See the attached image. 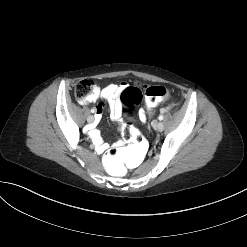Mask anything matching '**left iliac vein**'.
<instances>
[{
	"instance_id": "1",
	"label": "left iliac vein",
	"mask_w": 247,
	"mask_h": 247,
	"mask_svg": "<svg viewBox=\"0 0 247 247\" xmlns=\"http://www.w3.org/2000/svg\"><path fill=\"white\" fill-rule=\"evenodd\" d=\"M154 128L157 130V131H163L164 129V125L162 122H157L154 124Z\"/></svg>"
}]
</instances>
